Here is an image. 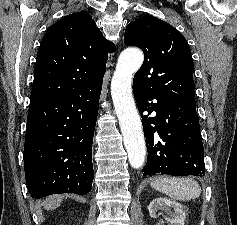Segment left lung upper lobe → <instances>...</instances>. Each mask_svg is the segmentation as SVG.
I'll return each mask as SVG.
<instances>
[{
	"label": "left lung upper lobe",
	"instance_id": "left-lung-upper-lobe-1",
	"mask_svg": "<svg viewBox=\"0 0 237 225\" xmlns=\"http://www.w3.org/2000/svg\"><path fill=\"white\" fill-rule=\"evenodd\" d=\"M124 42L144 52L133 86L165 99L195 100L191 50L173 26L152 15L142 16L126 27Z\"/></svg>",
	"mask_w": 237,
	"mask_h": 225
}]
</instances>
